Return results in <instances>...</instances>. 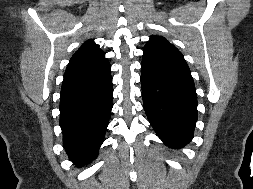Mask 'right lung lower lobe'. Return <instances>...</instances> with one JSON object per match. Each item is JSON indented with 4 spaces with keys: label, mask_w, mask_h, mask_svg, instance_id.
I'll list each match as a JSON object with an SVG mask.
<instances>
[{
    "label": "right lung lower lobe",
    "mask_w": 253,
    "mask_h": 189,
    "mask_svg": "<svg viewBox=\"0 0 253 189\" xmlns=\"http://www.w3.org/2000/svg\"><path fill=\"white\" fill-rule=\"evenodd\" d=\"M112 94L110 73L88 82L63 81L59 124L64 148L77 166L98 155L112 108Z\"/></svg>",
    "instance_id": "obj_1"
}]
</instances>
